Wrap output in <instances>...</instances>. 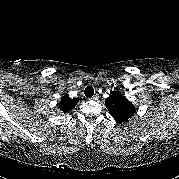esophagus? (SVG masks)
Listing matches in <instances>:
<instances>
[{"mask_svg": "<svg viewBox=\"0 0 179 179\" xmlns=\"http://www.w3.org/2000/svg\"><path fill=\"white\" fill-rule=\"evenodd\" d=\"M98 98H99V96L96 94V95H94L91 99L94 100V101H96V100H98Z\"/></svg>", "mask_w": 179, "mask_h": 179, "instance_id": "obj_1", "label": "esophagus"}]
</instances>
